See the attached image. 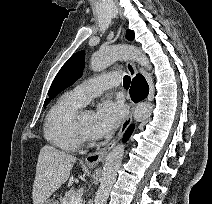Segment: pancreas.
I'll return each mask as SVG.
<instances>
[{
	"instance_id": "pancreas-1",
	"label": "pancreas",
	"mask_w": 212,
	"mask_h": 204,
	"mask_svg": "<svg viewBox=\"0 0 212 204\" xmlns=\"http://www.w3.org/2000/svg\"><path fill=\"white\" fill-rule=\"evenodd\" d=\"M79 195L78 192L74 191V190H69L65 193L64 196L60 197V203L61 204H69V200L73 197Z\"/></svg>"
}]
</instances>
